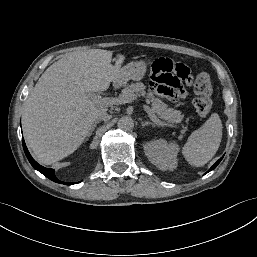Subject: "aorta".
<instances>
[{"mask_svg":"<svg viewBox=\"0 0 257 257\" xmlns=\"http://www.w3.org/2000/svg\"><path fill=\"white\" fill-rule=\"evenodd\" d=\"M117 126L122 130L130 131L134 127V121L129 116H123L122 118L119 119Z\"/></svg>","mask_w":257,"mask_h":257,"instance_id":"1","label":"aorta"}]
</instances>
